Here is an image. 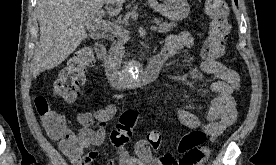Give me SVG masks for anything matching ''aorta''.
Segmentation results:
<instances>
[{
  "instance_id": "1",
  "label": "aorta",
  "mask_w": 276,
  "mask_h": 165,
  "mask_svg": "<svg viewBox=\"0 0 276 165\" xmlns=\"http://www.w3.org/2000/svg\"><path fill=\"white\" fill-rule=\"evenodd\" d=\"M142 74H143L142 67L136 61L130 62L129 65L127 66V68H126V71H125L126 80L130 84L138 83V81L141 78Z\"/></svg>"
}]
</instances>
